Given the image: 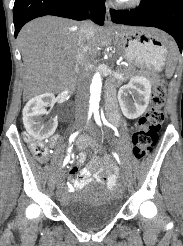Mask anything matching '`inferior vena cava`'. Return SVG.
<instances>
[{
    "label": "inferior vena cava",
    "instance_id": "obj_1",
    "mask_svg": "<svg viewBox=\"0 0 183 246\" xmlns=\"http://www.w3.org/2000/svg\"><path fill=\"white\" fill-rule=\"evenodd\" d=\"M94 35V24L88 20L80 28L79 51L77 54V63L75 71L79 75L77 84V94L75 98L76 108L79 110L88 109L89 100V80L88 71L91 67L90 62L86 59L85 43L89 42Z\"/></svg>",
    "mask_w": 183,
    "mask_h": 246
}]
</instances>
